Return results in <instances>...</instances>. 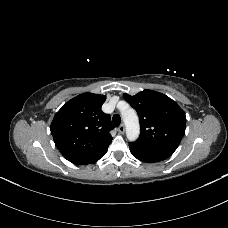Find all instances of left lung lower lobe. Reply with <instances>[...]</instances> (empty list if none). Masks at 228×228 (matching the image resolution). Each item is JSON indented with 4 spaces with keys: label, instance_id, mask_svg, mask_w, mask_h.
<instances>
[{
    "label": "left lung lower lobe",
    "instance_id": "0a47b994",
    "mask_svg": "<svg viewBox=\"0 0 228 228\" xmlns=\"http://www.w3.org/2000/svg\"><path fill=\"white\" fill-rule=\"evenodd\" d=\"M129 147L131 154L135 158L144 162H160L169 158L172 155L171 152L165 150L142 148L131 143L129 144Z\"/></svg>",
    "mask_w": 228,
    "mask_h": 228
}]
</instances>
